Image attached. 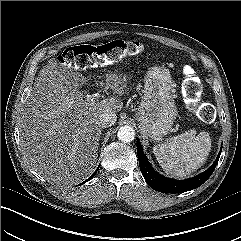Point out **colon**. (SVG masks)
<instances>
[{
	"instance_id": "obj_1",
	"label": "colon",
	"mask_w": 241,
	"mask_h": 241,
	"mask_svg": "<svg viewBox=\"0 0 241 241\" xmlns=\"http://www.w3.org/2000/svg\"><path fill=\"white\" fill-rule=\"evenodd\" d=\"M144 46L138 41L115 40L103 45H80L65 49L58 60L64 66L73 69L108 65L126 55L139 54ZM183 95L188 108L204 121H211L214 109L200 101L202 85L193 71L185 73Z\"/></svg>"
}]
</instances>
